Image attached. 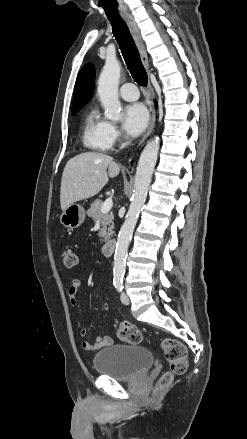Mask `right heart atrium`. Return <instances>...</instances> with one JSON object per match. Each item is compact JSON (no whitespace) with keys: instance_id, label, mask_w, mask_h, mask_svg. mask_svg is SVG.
<instances>
[{"instance_id":"right-heart-atrium-1","label":"right heart atrium","mask_w":247,"mask_h":439,"mask_svg":"<svg viewBox=\"0 0 247 439\" xmlns=\"http://www.w3.org/2000/svg\"><path fill=\"white\" fill-rule=\"evenodd\" d=\"M108 133H109V137L113 143L117 142L121 137V133L119 131V128L113 123H109Z\"/></svg>"}]
</instances>
